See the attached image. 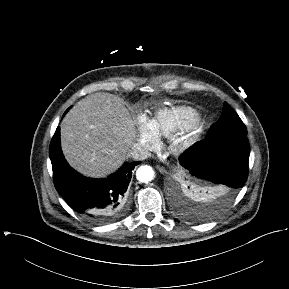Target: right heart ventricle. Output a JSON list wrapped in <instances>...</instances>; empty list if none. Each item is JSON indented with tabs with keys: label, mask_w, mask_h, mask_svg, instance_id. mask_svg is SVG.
<instances>
[{
	"label": "right heart ventricle",
	"mask_w": 289,
	"mask_h": 289,
	"mask_svg": "<svg viewBox=\"0 0 289 289\" xmlns=\"http://www.w3.org/2000/svg\"><path fill=\"white\" fill-rule=\"evenodd\" d=\"M198 113L190 107L178 106L157 110L150 120V126L159 138H172L198 120Z\"/></svg>",
	"instance_id": "e07e8e85"
}]
</instances>
